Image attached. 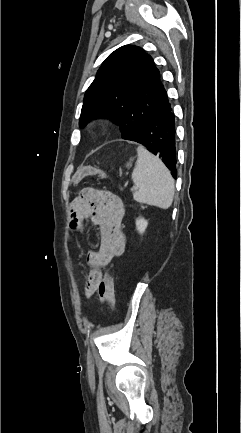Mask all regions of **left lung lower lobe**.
I'll use <instances>...</instances> for the list:
<instances>
[{
  "label": "left lung lower lobe",
  "mask_w": 241,
  "mask_h": 433,
  "mask_svg": "<svg viewBox=\"0 0 241 433\" xmlns=\"http://www.w3.org/2000/svg\"><path fill=\"white\" fill-rule=\"evenodd\" d=\"M126 140L146 146L150 152L165 163L173 177L176 178L175 115L167 94L149 119L131 133Z\"/></svg>",
  "instance_id": "obj_1"
}]
</instances>
